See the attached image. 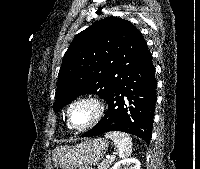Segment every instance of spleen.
Wrapping results in <instances>:
<instances>
[{"mask_svg": "<svg viewBox=\"0 0 200 169\" xmlns=\"http://www.w3.org/2000/svg\"><path fill=\"white\" fill-rule=\"evenodd\" d=\"M106 138H110L120 158L130 156L132 153V139L128 134L123 132L112 131L105 134Z\"/></svg>", "mask_w": 200, "mask_h": 169, "instance_id": "1", "label": "spleen"}]
</instances>
